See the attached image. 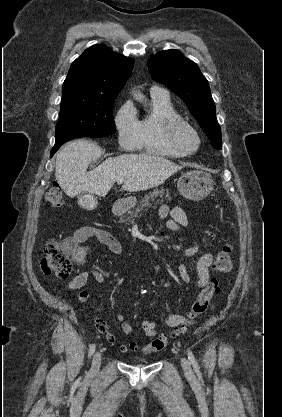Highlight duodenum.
Listing matches in <instances>:
<instances>
[{
  "label": "duodenum",
  "mask_w": 282,
  "mask_h": 417,
  "mask_svg": "<svg viewBox=\"0 0 282 417\" xmlns=\"http://www.w3.org/2000/svg\"><path fill=\"white\" fill-rule=\"evenodd\" d=\"M124 204L120 201H117L112 207L113 215L117 216L124 212Z\"/></svg>",
  "instance_id": "410a0bca"
}]
</instances>
